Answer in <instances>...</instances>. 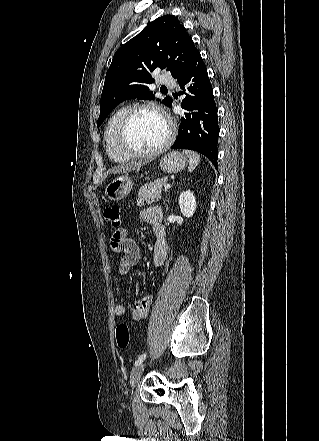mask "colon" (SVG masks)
Listing matches in <instances>:
<instances>
[{
	"mask_svg": "<svg viewBox=\"0 0 319 441\" xmlns=\"http://www.w3.org/2000/svg\"><path fill=\"white\" fill-rule=\"evenodd\" d=\"M105 221L115 229L120 228L122 224L121 210L116 204L109 205L103 210ZM116 232L115 235H118ZM116 342L118 347L126 348L129 345V330L127 325L120 324L116 328Z\"/></svg>",
	"mask_w": 319,
	"mask_h": 441,
	"instance_id": "1",
	"label": "colon"
}]
</instances>
